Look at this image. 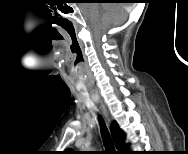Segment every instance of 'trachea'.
Wrapping results in <instances>:
<instances>
[{
  "mask_svg": "<svg viewBox=\"0 0 188 154\" xmlns=\"http://www.w3.org/2000/svg\"><path fill=\"white\" fill-rule=\"evenodd\" d=\"M100 128H101V134L105 146V154H115V148L111 139V136L109 134V131L104 123V121L100 118Z\"/></svg>",
  "mask_w": 188,
  "mask_h": 154,
  "instance_id": "trachea-1",
  "label": "trachea"
}]
</instances>
